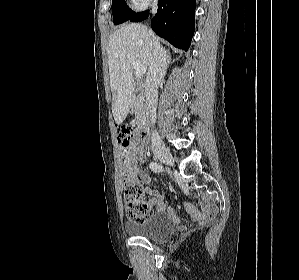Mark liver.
I'll return each mask as SVG.
<instances>
[{
    "label": "liver",
    "instance_id": "obj_1",
    "mask_svg": "<svg viewBox=\"0 0 299 280\" xmlns=\"http://www.w3.org/2000/svg\"><path fill=\"white\" fill-rule=\"evenodd\" d=\"M153 40L159 44L151 30L137 23L117 29L109 38L108 65L112 114L117 124L123 123L132 107L135 83L131 61L134 59L140 62L148 72L152 59Z\"/></svg>",
    "mask_w": 299,
    "mask_h": 280
}]
</instances>
